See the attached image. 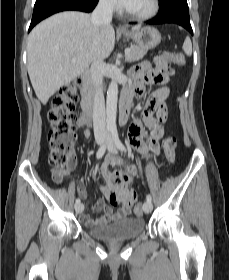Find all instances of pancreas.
<instances>
[{
	"instance_id": "1",
	"label": "pancreas",
	"mask_w": 229,
	"mask_h": 280,
	"mask_svg": "<svg viewBox=\"0 0 229 280\" xmlns=\"http://www.w3.org/2000/svg\"><path fill=\"white\" fill-rule=\"evenodd\" d=\"M130 49H131V52L126 57L127 61H129V62H134V61H138V60L142 59L148 51L147 49H143V48H140L135 45H132Z\"/></svg>"
}]
</instances>
